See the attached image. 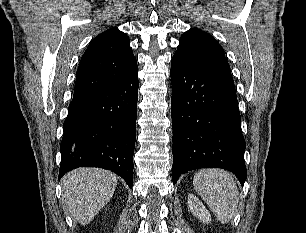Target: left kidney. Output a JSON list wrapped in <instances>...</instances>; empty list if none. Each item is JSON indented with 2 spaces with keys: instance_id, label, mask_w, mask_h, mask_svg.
<instances>
[{
  "instance_id": "obj_1",
  "label": "left kidney",
  "mask_w": 306,
  "mask_h": 233,
  "mask_svg": "<svg viewBox=\"0 0 306 233\" xmlns=\"http://www.w3.org/2000/svg\"><path fill=\"white\" fill-rule=\"evenodd\" d=\"M188 206L192 214L203 223H210L212 221L210 212L195 195L188 194Z\"/></svg>"
}]
</instances>
